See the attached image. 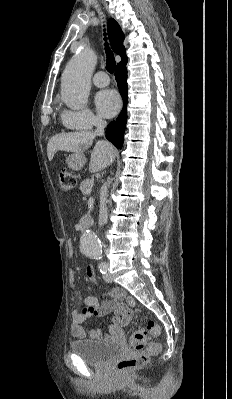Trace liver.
Returning <instances> with one entry per match:
<instances>
[{"instance_id":"liver-1","label":"liver","mask_w":232,"mask_h":399,"mask_svg":"<svg viewBox=\"0 0 232 399\" xmlns=\"http://www.w3.org/2000/svg\"><path fill=\"white\" fill-rule=\"evenodd\" d=\"M95 136L94 132H87V130H83V132H69V134H56L48 142L47 156L49 162L53 160L56 152H59V150L82 154V152H85V150H88L92 146ZM115 156L116 152L109 142H97L91 154L89 172L95 174V172L105 170L109 164H112Z\"/></svg>"}]
</instances>
